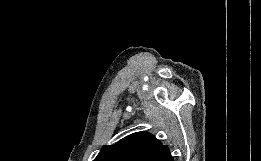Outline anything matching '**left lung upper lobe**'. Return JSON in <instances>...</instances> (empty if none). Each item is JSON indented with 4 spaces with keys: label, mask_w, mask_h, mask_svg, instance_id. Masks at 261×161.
Instances as JSON below:
<instances>
[{
    "label": "left lung upper lobe",
    "mask_w": 261,
    "mask_h": 161,
    "mask_svg": "<svg viewBox=\"0 0 261 161\" xmlns=\"http://www.w3.org/2000/svg\"><path fill=\"white\" fill-rule=\"evenodd\" d=\"M167 148L152 134L137 132L114 145H105L94 161H155Z\"/></svg>",
    "instance_id": "obj_1"
}]
</instances>
